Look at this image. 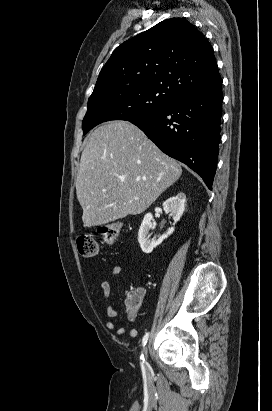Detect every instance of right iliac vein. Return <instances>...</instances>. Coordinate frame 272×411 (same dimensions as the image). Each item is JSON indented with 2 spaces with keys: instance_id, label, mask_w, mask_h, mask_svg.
Here are the masks:
<instances>
[{
  "instance_id": "obj_1",
  "label": "right iliac vein",
  "mask_w": 272,
  "mask_h": 411,
  "mask_svg": "<svg viewBox=\"0 0 272 411\" xmlns=\"http://www.w3.org/2000/svg\"><path fill=\"white\" fill-rule=\"evenodd\" d=\"M144 355H145V358H146V360H147V356H148V346H146V347L144 348Z\"/></svg>"
}]
</instances>
